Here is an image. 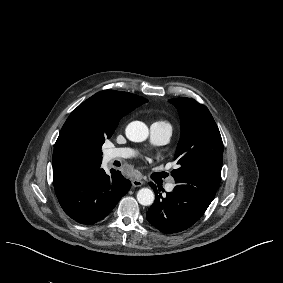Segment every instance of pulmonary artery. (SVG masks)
<instances>
[{"label":"pulmonary artery","instance_id":"pulmonary-artery-1","mask_svg":"<svg viewBox=\"0 0 283 283\" xmlns=\"http://www.w3.org/2000/svg\"><path fill=\"white\" fill-rule=\"evenodd\" d=\"M151 141L157 145H164L169 142L171 138V130L156 124L150 127ZM134 155V151L130 148H113L108 150L106 156L110 161L122 160ZM176 187L174 178H170L165 184V190L172 192Z\"/></svg>","mask_w":283,"mask_h":283}]
</instances>
